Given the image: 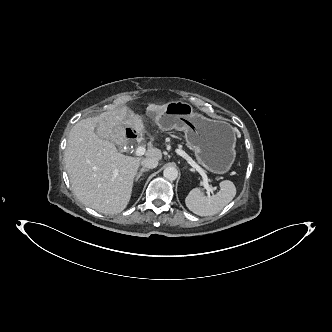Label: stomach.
Listing matches in <instances>:
<instances>
[{
  "label": "stomach",
  "instance_id": "1",
  "mask_svg": "<svg viewBox=\"0 0 332 332\" xmlns=\"http://www.w3.org/2000/svg\"><path fill=\"white\" fill-rule=\"evenodd\" d=\"M155 121L162 131H184L196 159L209 172L225 174L234 164L236 135L229 123L206 119L182 101L167 103Z\"/></svg>",
  "mask_w": 332,
  "mask_h": 332
}]
</instances>
